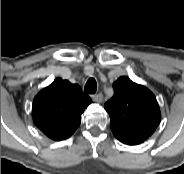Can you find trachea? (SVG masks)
I'll use <instances>...</instances> for the list:
<instances>
[{"instance_id": "trachea-1", "label": "trachea", "mask_w": 184, "mask_h": 174, "mask_svg": "<svg viewBox=\"0 0 184 174\" xmlns=\"http://www.w3.org/2000/svg\"><path fill=\"white\" fill-rule=\"evenodd\" d=\"M97 90V83L94 78H90L84 87V91L89 94H94Z\"/></svg>"}]
</instances>
